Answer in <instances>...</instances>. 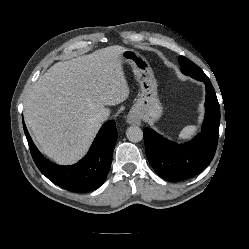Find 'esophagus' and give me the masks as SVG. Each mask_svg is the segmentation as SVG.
<instances>
[{"label": "esophagus", "mask_w": 249, "mask_h": 249, "mask_svg": "<svg viewBox=\"0 0 249 249\" xmlns=\"http://www.w3.org/2000/svg\"><path fill=\"white\" fill-rule=\"evenodd\" d=\"M127 122L131 125L139 126L141 124V119L137 114L130 113L127 117Z\"/></svg>", "instance_id": "obj_1"}]
</instances>
